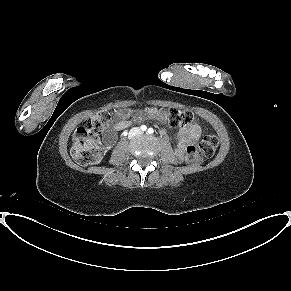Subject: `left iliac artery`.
<instances>
[{"label":"left iliac artery","mask_w":291,"mask_h":291,"mask_svg":"<svg viewBox=\"0 0 291 291\" xmlns=\"http://www.w3.org/2000/svg\"><path fill=\"white\" fill-rule=\"evenodd\" d=\"M153 132H154V129H153V128H149V129H148V133H149V134H152Z\"/></svg>","instance_id":"44dca946"}]
</instances>
